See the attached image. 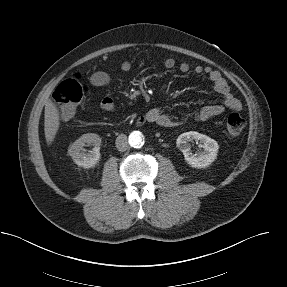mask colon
Instances as JSON below:
<instances>
[{
    "label": "colon",
    "mask_w": 287,
    "mask_h": 287,
    "mask_svg": "<svg viewBox=\"0 0 287 287\" xmlns=\"http://www.w3.org/2000/svg\"><path fill=\"white\" fill-rule=\"evenodd\" d=\"M87 91L77 78L63 81L53 94L54 101L58 107L61 119L71 118L77 105ZM245 119L239 113H230L225 119L226 130L229 135H239L245 127Z\"/></svg>",
    "instance_id": "5ec220e1"
}]
</instances>
